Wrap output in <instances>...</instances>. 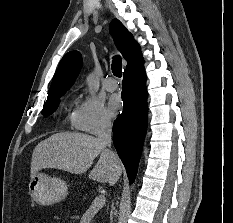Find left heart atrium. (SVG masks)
<instances>
[{
    "label": "left heart atrium",
    "mask_w": 233,
    "mask_h": 223,
    "mask_svg": "<svg viewBox=\"0 0 233 223\" xmlns=\"http://www.w3.org/2000/svg\"><path fill=\"white\" fill-rule=\"evenodd\" d=\"M120 111H121L120 100L116 96H112L108 103L109 115L112 118H114L120 113Z\"/></svg>",
    "instance_id": "obj_1"
}]
</instances>
